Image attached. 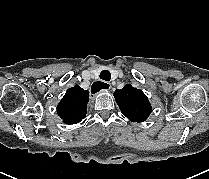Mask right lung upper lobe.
I'll return each instance as SVG.
<instances>
[{"label":"right lung upper lobe","mask_w":209,"mask_h":179,"mask_svg":"<svg viewBox=\"0 0 209 179\" xmlns=\"http://www.w3.org/2000/svg\"><path fill=\"white\" fill-rule=\"evenodd\" d=\"M89 92L75 85L66 91V94L57 106V113L66 124L79 123L87 113Z\"/></svg>","instance_id":"right-lung-upper-lobe-1"}]
</instances>
